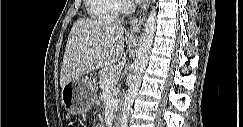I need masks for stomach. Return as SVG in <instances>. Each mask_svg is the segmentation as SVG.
Segmentation results:
<instances>
[{
  "label": "stomach",
  "instance_id": "stomach-1",
  "mask_svg": "<svg viewBox=\"0 0 243 127\" xmlns=\"http://www.w3.org/2000/svg\"><path fill=\"white\" fill-rule=\"evenodd\" d=\"M97 97V87L86 77L72 80L61 90V102L70 114L80 115L88 112Z\"/></svg>",
  "mask_w": 243,
  "mask_h": 127
}]
</instances>
